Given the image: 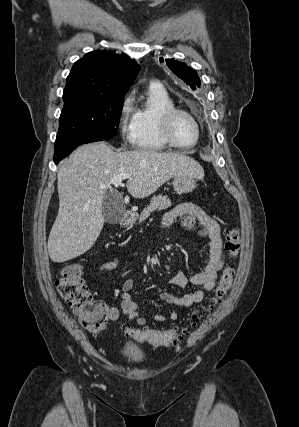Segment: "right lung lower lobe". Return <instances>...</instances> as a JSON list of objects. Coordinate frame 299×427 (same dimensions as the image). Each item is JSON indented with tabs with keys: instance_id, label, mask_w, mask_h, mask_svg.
<instances>
[{
	"instance_id": "1",
	"label": "right lung lower lobe",
	"mask_w": 299,
	"mask_h": 427,
	"mask_svg": "<svg viewBox=\"0 0 299 427\" xmlns=\"http://www.w3.org/2000/svg\"><path fill=\"white\" fill-rule=\"evenodd\" d=\"M101 140L102 139L78 140L71 144H67L59 148H56L54 152V163L55 164L59 163L63 158L68 156L76 147L82 144L101 141Z\"/></svg>"
}]
</instances>
